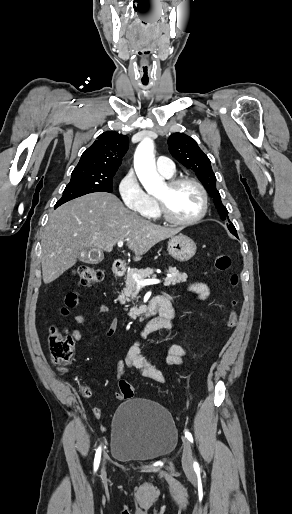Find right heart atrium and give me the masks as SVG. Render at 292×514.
<instances>
[{"label":"right heart atrium","mask_w":292,"mask_h":514,"mask_svg":"<svg viewBox=\"0 0 292 514\" xmlns=\"http://www.w3.org/2000/svg\"><path fill=\"white\" fill-rule=\"evenodd\" d=\"M120 200H124L127 209H140L144 211L149 203V195L140 184L135 172L128 170L118 182Z\"/></svg>","instance_id":"obj_1"}]
</instances>
